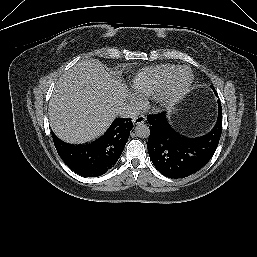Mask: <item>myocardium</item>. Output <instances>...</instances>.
I'll return each instance as SVG.
<instances>
[{"label":"myocardium","mask_w":257,"mask_h":257,"mask_svg":"<svg viewBox=\"0 0 257 257\" xmlns=\"http://www.w3.org/2000/svg\"><path fill=\"white\" fill-rule=\"evenodd\" d=\"M181 72H185L188 75L186 82L179 88H174L172 82L174 78ZM193 73L186 67H178L171 71L164 79L159 91L153 97L156 104L160 106H166L178 102L182 99L193 83Z\"/></svg>","instance_id":"f54148a6"}]
</instances>
